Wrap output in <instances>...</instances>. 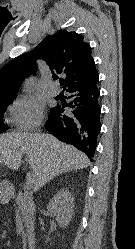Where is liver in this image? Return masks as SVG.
<instances>
[{
  "mask_svg": "<svg viewBox=\"0 0 135 249\" xmlns=\"http://www.w3.org/2000/svg\"><path fill=\"white\" fill-rule=\"evenodd\" d=\"M24 155L27 156L33 171L34 190L40 189L62 173L87 168L90 165L86 154L49 134L0 135V163L17 170Z\"/></svg>",
  "mask_w": 135,
  "mask_h": 249,
  "instance_id": "obj_1",
  "label": "liver"
}]
</instances>
